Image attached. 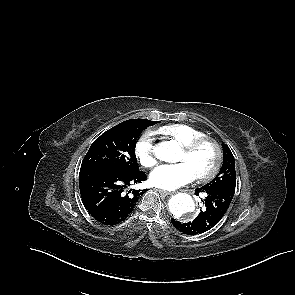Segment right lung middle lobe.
<instances>
[{"label": "right lung middle lobe", "instance_id": "1", "mask_svg": "<svg viewBox=\"0 0 295 295\" xmlns=\"http://www.w3.org/2000/svg\"><path fill=\"white\" fill-rule=\"evenodd\" d=\"M159 121L131 119L104 132L91 145L82 161L80 173L88 171H137L136 139Z\"/></svg>", "mask_w": 295, "mask_h": 295}]
</instances>
